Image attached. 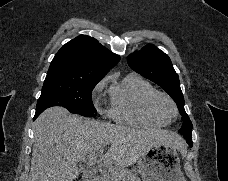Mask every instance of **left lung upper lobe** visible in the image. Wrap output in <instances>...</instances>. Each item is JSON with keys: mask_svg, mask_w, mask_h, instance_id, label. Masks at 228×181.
<instances>
[{"mask_svg": "<svg viewBox=\"0 0 228 181\" xmlns=\"http://www.w3.org/2000/svg\"><path fill=\"white\" fill-rule=\"evenodd\" d=\"M127 62L134 71L161 86L174 99L183 120L179 133L182 135L192 133V123L184 110V97L179 77L168 55L149 44L139 52L129 55Z\"/></svg>", "mask_w": 228, "mask_h": 181, "instance_id": "left-lung-upper-lobe-1", "label": "left lung upper lobe"}]
</instances>
